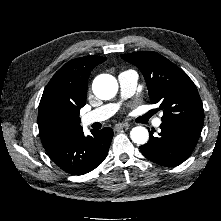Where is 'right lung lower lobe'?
Listing matches in <instances>:
<instances>
[{
	"label": "right lung lower lobe",
	"mask_w": 221,
	"mask_h": 221,
	"mask_svg": "<svg viewBox=\"0 0 221 221\" xmlns=\"http://www.w3.org/2000/svg\"><path fill=\"white\" fill-rule=\"evenodd\" d=\"M91 132L92 135L85 136L82 129L68 137L47 151L49 157L69 174L90 172L106 158L113 137L109 127Z\"/></svg>",
	"instance_id": "obj_1"
}]
</instances>
